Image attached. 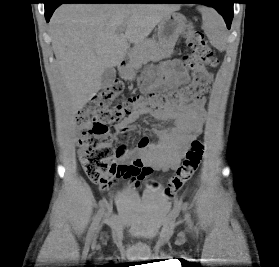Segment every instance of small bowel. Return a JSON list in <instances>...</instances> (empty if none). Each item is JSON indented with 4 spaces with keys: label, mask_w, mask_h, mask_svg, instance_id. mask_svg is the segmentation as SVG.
<instances>
[{
    "label": "small bowel",
    "mask_w": 279,
    "mask_h": 267,
    "mask_svg": "<svg viewBox=\"0 0 279 267\" xmlns=\"http://www.w3.org/2000/svg\"><path fill=\"white\" fill-rule=\"evenodd\" d=\"M161 70L162 77L152 86L145 85V91L152 88L177 86L188 80V73L184 69L183 63L178 59L163 63ZM146 114H151L160 121H172L173 125L167 128L154 129L152 132L157 136V141L152 142L148 137H144L130 155H125L123 161H130L134 158L143 167L141 173L131 177L130 186L136 185L138 180L150 175L154 167L167 171L178 166L190 143L198 135L204 124L205 99L201 97L180 108L139 109L130 114L119 129L113 133L115 138L117 139L121 130H126L130 124ZM114 183V177H106L98 182V185L101 189L110 191Z\"/></svg>",
    "instance_id": "obj_1"
}]
</instances>
